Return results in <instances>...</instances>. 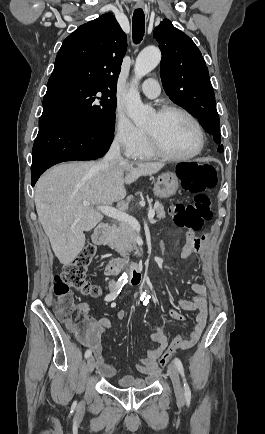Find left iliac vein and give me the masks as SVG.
Masks as SVG:
<instances>
[{
	"label": "left iliac vein",
	"mask_w": 265,
	"mask_h": 434,
	"mask_svg": "<svg viewBox=\"0 0 265 434\" xmlns=\"http://www.w3.org/2000/svg\"><path fill=\"white\" fill-rule=\"evenodd\" d=\"M168 373H169L171 381L174 385V392H175V396L177 398V401L179 403L183 404L184 403L183 389L181 387V382H180L177 368L175 367V365L172 362L168 365Z\"/></svg>",
	"instance_id": "obj_1"
}]
</instances>
